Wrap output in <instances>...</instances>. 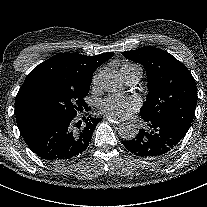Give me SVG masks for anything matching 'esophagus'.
I'll use <instances>...</instances> for the list:
<instances>
[{"label":"esophagus","mask_w":207,"mask_h":207,"mask_svg":"<svg viewBox=\"0 0 207 207\" xmlns=\"http://www.w3.org/2000/svg\"><path fill=\"white\" fill-rule=\"evenodd\" d=\"M106 119L109 120L108 124L111 127H115V126L119 125V123H120V120L117 117L106 116Z\"/></svg>","instance_id":"obj_1"}]
</instances>
